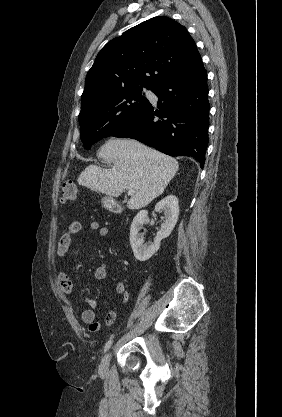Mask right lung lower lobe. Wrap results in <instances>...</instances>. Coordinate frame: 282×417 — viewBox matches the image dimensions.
Masks as SVG:
<instances>
[{
	"mask_svg": "<svg viewBox=\"0 0 282 417\" xmlns=\"http://www.w3.org/2000/svg\"><path fill=\"white\" fill-rule=\"evenodd\" d=\"M149 103L114 137L136 139L170 156H192L204 167L208 145L207 73L200 62L161 83Z\"/></svg>",
	"mask_w": 282,
	"mask_h": 417,
	"instance_id": "98d812e1",
	"label": "right lung lower lobe"
}]
</instances>
